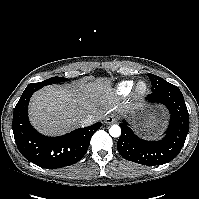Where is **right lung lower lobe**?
I'll use <instances>...</instances> for the list:
<instances>
[{
    "label": "right lung lower lobe",
    "instance_id": "98d812e1",
    "mask_svg": "<svg viewBox=\"0 0 199 199\" xmlns=\"http://www.w3.org/2000/svg\"><path fill=\"white\" fill-rule=\"evenodd\" d=\"M35 91L27 87L14 109L12 126L20 153L30 162L48 169L75 164L87 152L90 139L101 127V122L59 137L44 136L31 126L28 119V103Z\"/></svg>",
    "mask_w": 199,
    "mask_h": 199
}]
</instances>
